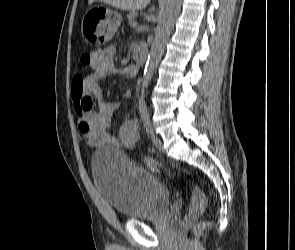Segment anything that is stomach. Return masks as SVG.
Instances as JSON below:
<instances>
[{
    "instance_id": "0dacf381",
    "label": "stomach",
    "mask_w": 295,
    "mask_h": 250,
    "mask_svg": "<svg viewBox=\"0 0 295 250\" xmlns=\"http://www.w3.org/2000/svg\"><path fill=\"white\" fill-rule=\"evenodd\" d=\"M122 21L121 15L104 6L91 7L82 20V35L90 45H107Z\"/></svg>"
}]
</instances>
